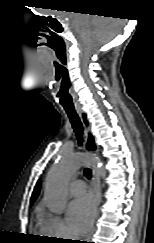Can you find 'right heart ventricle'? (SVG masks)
I'll return each instance as SVG.
<instances>
[{"label":"right heart ventricle","mask_w":154,"mask_h":243,"mask_svg":"<svg viewBox=\"0 0 154 243\" xmlns=\"http://www.w3.org/2000/svg\"><path fill=\"white\" fill-rule=\"evenodd\" d=\"M37 214H38V217L41 216V211H40L39 209L37 210ZM41 221H42V219H41ZM41 227H42V226H41ZM41 232H42L43 234H47V233L43 230V228H42Z\"/></svg>","instance_id":"right-heart-ventricle-1"}]
</instances>
